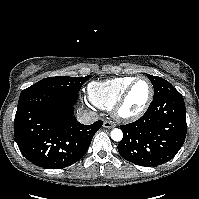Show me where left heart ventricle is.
Returning a JSON list of instances; mask_svg holds the SVG:
<instances>
[{"label": "left heart ventricle", "mask_w": 199, "mask_h": 199, "mask_svg": "<svg viewBox=\"0 0 199 199\" xmlns=\"http://www.w3.org/2000/svg\"><path fill=\"white\" fill-rule=\"evenodd\" d=\"M149 92L150 87L148 82L139 80L132 88L124 106V110L129 113L139 110L147 100Z\"/></svg>", "instance_id": "1"}]
</instances>
